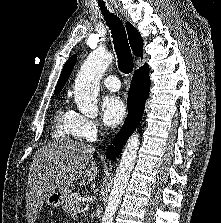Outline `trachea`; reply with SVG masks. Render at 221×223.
Returning a JSON list of instances; mask_svg holds the SVG:
<instances>
[{
  "instance_id": "3493384b",
  "label": "trachea",
  "mask_w": 221,
  "mask_h": 223,
  "mask_svg": "<svg viewBox=\"0 0 221 223\" xmlns=\"http://www.w3.org/2000/svg\"><path fill=\"white\" fill-rule=\"evenodd\" d=\"M98 5L112 33L118 68L122 73L129 75L134 64L125 28L121 20L106 9L104 2H99Z\"/></svg>"
}]
</instances>
